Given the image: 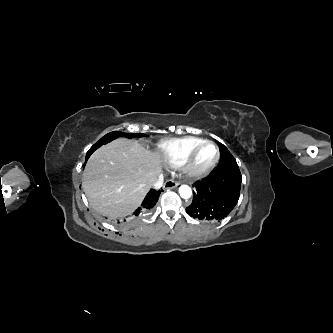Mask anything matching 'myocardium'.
I'll return each instance as SVG.
<instances>
[{"label": "myocardium", "mask_w": 333, "mask_h": 333, "mask_svg": "<svg viewBox=\"0 0 333 333\" xmlns=\"http://www.w3.org/2000/svg\"><path fill=\"white\" fill-rule=\"evenodd\" d=\"M208 145L213 146L216 150V156H215L214 160L207 165L197 166L195 162H196V158H197L199 152L205 146H208ZM219 159H220V151H219L218 146L213 141L205 140L202 143H200L199 145H197L187 156V158L181 165L182 172L185 176H187L189 178L201 177V176L205 175L206 173H208L210 170H212L217 165Z\"/></svg>", "instance_id": "f54148a6"}]
</instances>
